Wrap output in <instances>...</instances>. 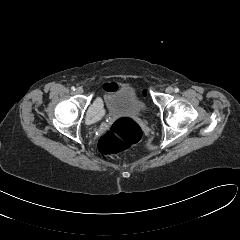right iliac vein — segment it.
<instances>
[{"label": "right iliac vein", "instance_id": "obj_1", "mask_svg": "<svg viewBox=\"0 0 240 240\" xmlns=\"http://www.w3.org/2000/svg\"><path fill=\"white\" fill-rule=\"evenodd\" d=\"M76 93H77V94H82V93H83V88H82V87H78V88L76 89Z\"/></svg>", "mask_w": 240, "mask_h": 240}]
</instances>
